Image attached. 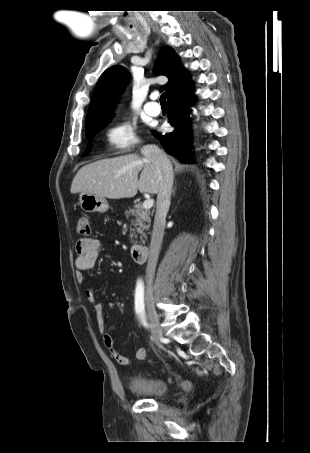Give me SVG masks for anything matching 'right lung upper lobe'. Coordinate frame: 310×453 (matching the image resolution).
<instances>
[{
    "label": "right lung upper lobe",
    "instance_id": "1",
    "mask_svg": "<svg viewBox=\"0 0 310 453\" xmlns=\"http://www.w3.org/2000/svg\"><path fill=\"white\" fill-rule=\"evenodd\" d=\"M157 71L169 78L166 84V94L186 76L184 67L170 47L160 51ZM129 79L127 70L123 66H112L101 75L93 93L85 128H91L107 121L113 108V101L125 88Z\"/></svg>",
    "mask_w": 310,
    "mask_h": 453
}]
</instances>
